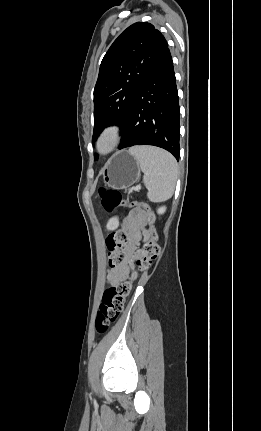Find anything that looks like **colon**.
I'll list each match as a JSON object with an SVG mask.
<instances>
[{
    "mask_svg": "<svg viewBox=\"0 0 261 431\" xmlns=\"http://www.w3.org/2000/svg\"><path fill=\"white\" fill-rule=\"evenodd\" d=\"M101 203L108 212L114 211L117 207L125 204L121 192L115 189H101ZM130 206H136L147 216L149 228L146 233L140 257L136 262L137 268L141 272L147 271L152 263L157 259L160 248L157 244V234L153 226L155 216L147 204L130 202ZM128 242L126 232L122 230H111L106 238L108 249V260L111 267L118 266L124 262V248ZM132 286L131 280L119 282L107 288L102 296V301L97 313L96 330L104 333L110 324L115 322L123 310L124 302Z\"/></svg>",
    "mask_w": 261,
    "mask_h": 431,
    "instance_id": "5ec220e1",
    "label": "colon"
}]
</instances>
